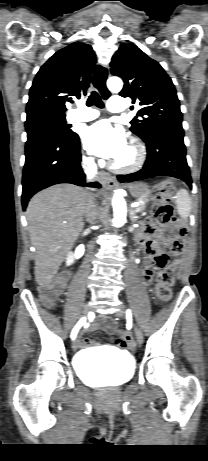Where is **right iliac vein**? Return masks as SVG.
Wrapping results in <instances>:
<instances>
[{"instance_id": "63e3f726", "label": "right iliac vein", "mask_w": 208, "mask_h": 461, "mask_svg": "<svg viewBox=\"0 0 208 461\" xmlns=\"http://www.w3.org/2000/svg\"><path fill=\"white\" fill-rule=\"evenodd\" d=\"M90 311H91L90 305H89V304H86V305L84 306V308H83V316H84V317L88 316L89 313H90ZM78 347H79V338H76V339L73 341V343H72V349H73L74 351H76V350L78 349Z\"/></svg>"}]
</instances>
